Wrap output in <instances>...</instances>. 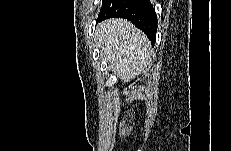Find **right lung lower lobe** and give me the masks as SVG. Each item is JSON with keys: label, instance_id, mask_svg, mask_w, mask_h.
<instances>
[{"label": "right lung lower lobe", "instance_id": "right-lung-lower-lobe-1", "mask_svg": "<svg viewBox=\"0 0 231 151\" xmlns=\"http://www.w3.org/2000/svg\"><path fill=\"white\" fill-rule=\"evenodd\" d=\"M112 17L130 20L147 35L154 45L157 16L149 0H103L97 22Z\"/></svg>", "mask_w": 231, "mask_h": 151}]
</instances>
